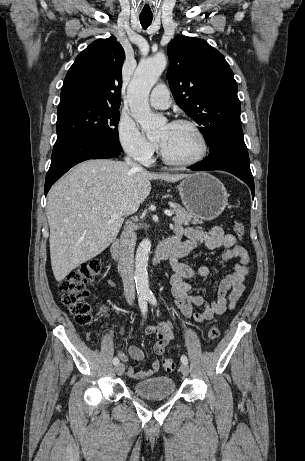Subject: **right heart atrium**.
<instances>
[{
	"mask_svg": "<svg viewBox=\"0 0 305 461\" xmlns=\"http://www.w3.org/2000/svg\"><path fill=\"white\" fill-rule=\"evenodd\" d=\"M117 137L129 156L143 164L151 163L157 144L149 141L131 118L122 116L119 119Z\"/></svg>",
	"mask_w": 305,
	"mask_h": 461,
	"instance_id": "right-heart-atrium-1",
	"label": "right heart atrium"
}]
</instances>
